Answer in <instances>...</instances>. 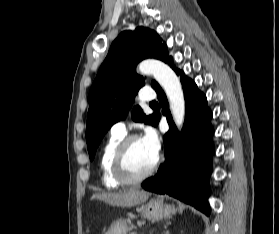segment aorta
<instances>
[{"label":"aorta","instance_id":"aorta-1","mask_svg":"<svg viewBox=\"0 0 279 234\" xmlns=\"http://www.w3.org/2000/svg\"><path fill=\"white\" fill-rule=\"evenodd\" d=\"M138 70L142 74L153 75L164 89L175 124L180 129L185 116V99L179 78L165 63L158 60H144Z\"/></svg>","mask_w":279,"mask_h":234}]
</instances>
